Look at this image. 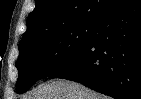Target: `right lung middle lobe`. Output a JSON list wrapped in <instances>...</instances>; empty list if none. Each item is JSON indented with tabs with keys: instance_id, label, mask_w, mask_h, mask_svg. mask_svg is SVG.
I'll list each match as a JSON object with an SVG mask.
<instances>
[{
	"instance_id": "obj_1",
	"label": "right lung middle lobe",
	"mask_w": 141,
	"mask_h": 99,
	"mask_svg": "<svg viewBox=\"0 0 141 99\" xmlns=\"http://www.w3.org/2000/svg\"><path fill=\"white\" fill-rule=\"evenodd\" d=\"M97 21H81L19 44L18 94L68 64L93 38Z\"/></svg>"
}]
</instances>
